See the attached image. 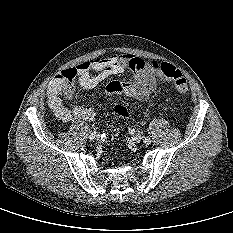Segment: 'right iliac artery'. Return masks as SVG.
Segmentation results:
<instances>
[{
	"mask_svg": "<svg viewBox=\"0 0 233 233\" xmlns=\"http://www.w3.org/2000/svg\"><path fill=\"white\" fill-rule=\"evenodd\" d=\"M96 133H97V132L94 131V132H92V133L89 135L90 140H93V139L95 138Z\"/></svg>",
	"mask_w": 233,
	"mask_h": 233,
	"instance_id": "1",
	"label": "right iliac artery"
}]
</instances>
